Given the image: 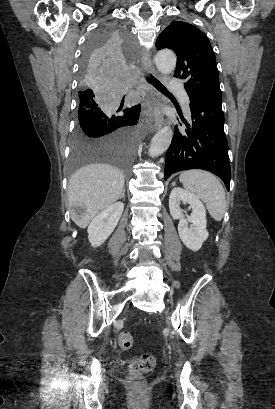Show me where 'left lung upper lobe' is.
I'll return each instance as SVG.
<instances>
[{
  "mask_svg": "<svg viewBox=\"0 0 275 409\" xmlns=\"http://www.w3.org/2000/svg\"><path fill=\"white\" fill-rule=\"evenodd\" d=\"M156 47L176 53L174 76L186 80L189 97L222 102L215 55L202 31L189 23L173 21L157 38Z\"/></svg>",
  "mask_w": 275,
  "mask_h": 409,
  "instance_id": "left-lung-upper-lobe-1",
  "label": "left lung upper lobe"
}]
</instances>
